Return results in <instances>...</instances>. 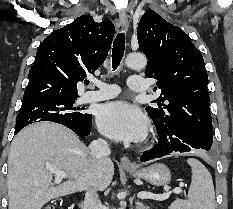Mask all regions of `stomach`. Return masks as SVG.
Instances as JSON below:
<instances>
[{
	"label": "stomach",
	"instance_id": "0dacf381",
	"mask_svg": "<svg viewBox=\"0 0 233 209\" xmlns=\"http://www.w3.org/2000/svg\"><path fill=\"white\" fill-rule=\"evenodd\" d=\"M126 171L133 177L145 180L154 186H163L171 181V172L164 164H153L149 167Z\"/></svg>",
	"mask_w": 233,
	"mask_h": 209
}]
</instances>
